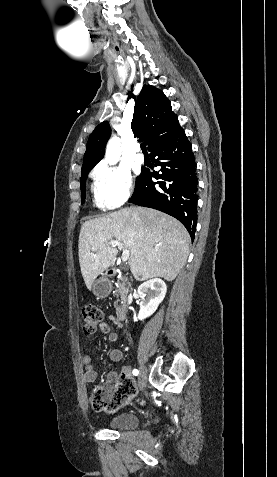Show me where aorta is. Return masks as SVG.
I'll list each match as a JSON object with an SVG mask.
<instances>
[{
  "label": "aorta",
  "mask_w": 277,
  "mask_h": 477,
  "mask_svg": "<svg viewBox=\"0 0 277 477\" xmlns=\"http://www.w3.org/2000/svg\"><path fill=\"white\" fill-rule=\"evenodd\" d=\"M121 156L120 140L117 136L112 137L106 147L105 158L108 164H116Z\"/></svg>",
  "instance_id": "obj_1"
}]
</instances>
